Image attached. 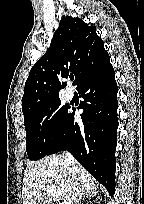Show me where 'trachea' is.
<instances>
[{
  "label": "trachea",
  "mask_w": 144,
  "mask_h": 204,
  "mask_svg": "<svg viewBox=\"0 0 144 204\" xmlns=\"http://www.w3.org/2000/svg\"><path fill=\"white\" fill-rule=\"evenodd\" d=\"M73 79H74V76H70V80L73 81Z\"/></svg>",
  "instance_id": "obj_1"
}]
</instances>
